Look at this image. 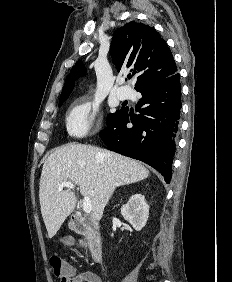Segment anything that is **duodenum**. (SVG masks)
<instances>
[{
    "mask_svg": "<svg viewBox=\"0 0 232 282\" xmlns=\"http://www.w3.org/2000/svg\"><path fill=\"white\" fill-rule=\"evenodd\" d=\"M74 230L84 235L88 240V247L95 262H101L103 256V245L97 230L79 216L72 217Z\"/></svg>",
    "mask_w": 232,
    "mask_h": 282,
    "instance_id": "obj_1",
    "label": "duodenum"
}]
</instances>
